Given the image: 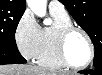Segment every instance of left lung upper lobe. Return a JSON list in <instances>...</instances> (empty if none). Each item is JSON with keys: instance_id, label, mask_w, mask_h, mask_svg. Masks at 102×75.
<instances>
[{"instance_id": "obj_1", "label": "left lung upper lobe", "mask_w": 102, "mask_h": 75, "mask_svg": "<svg viewBox=\"0 0 102 75\" xmlns=\"http://www.w3.org/2000/svg\"><path fill=\"white\" fill-rule=\"evenodd\" d=\"M75 21L90 36L94 47V66H102V0H60Z\"/></svg>"}]
</instances>
